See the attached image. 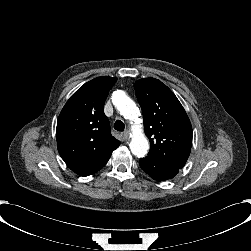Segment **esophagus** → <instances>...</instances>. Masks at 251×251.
Here are the masks:
<instances>
[{
	"mask_svg": "<svg viewBox=\"0 0 251 251\" xmlns=\"http://www.w3.org/2000/svg\"><path fill=\"white\" fill-rule=\"evenodd\" d=\"M122 135H123V138H124L125 140H129V139H130V135H129V132H128V131L123 132Z\"/></svg>",
	"mask_w": 251,
	"mask_h": 251,
	"instance_id": "esophagus-1",
	"label": "esophagus"
}]
</instances>
